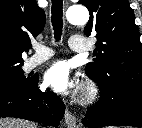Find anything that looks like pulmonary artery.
I'll use <instances>...</instances> for the list:
<instances>
[{
    "instance_id": "pulmonary-artery-1",
    "label": "pulmonary artery",
    "mask_w": 142,
    "mask_h": 128,
    "mask_svg": "<svg viewBox=\"0 0 142 128\" xmlns=\"http://www.w3.org/2000/svg\"><path fill=\"white\" fill-rule=\"evenodd\" d=\"M69 47L71 51L75 53H85L89 49L86 39L78 35H73L70 38ZM35 51V54L27 59L24 64L26 70L34 69L43 62L47 61L53 55L52 50L43 45H37L35 47Z\"/></svg>"
}]
</instances>
